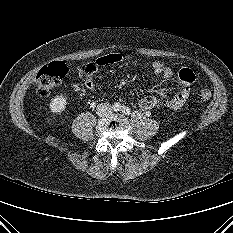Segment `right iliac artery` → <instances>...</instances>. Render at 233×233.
Segmentation results:
<instances>
[{"mask_svg": "<svg viewBox=\"0 0 233 233\" xmlns=\"http://www.w3.org/2000/svg\"><path fill=\"white\" fill-rule=\"evenodd\" d=\"M113 110L116 111V112L120 111L121 110V105L119 103L114 104L113 105Z\"/></svg>", "mask_w": 233, "mask_h": 233, "instance_id": "82829eb1", "label": "right iliac artery"}]
</instances>
